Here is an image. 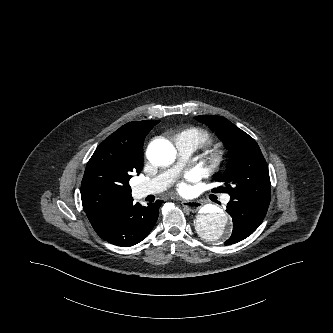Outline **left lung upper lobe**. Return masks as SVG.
Masks as SVG:
<instances>
[{
  "instance_id": "left-lung-upper-lobe-1",
  "label": "left lung upper lobe",
  "mask_w": 333,
  "mask_h": 333,
  "mask_svg": "<svg viewBox=\"0 0 333 333\" xmlns=\"http://www.w3.org/2000/svg\"><path fill=\"white\" fill-rule=\"evenodd\" d=\"M195 118L213 129L231 154L227 173L215 175V180L224 185L213 192L228 193L231 199L268 207L271 198L269 171L257 142L221 116Z\"/></svg>"
}]
</instances>
